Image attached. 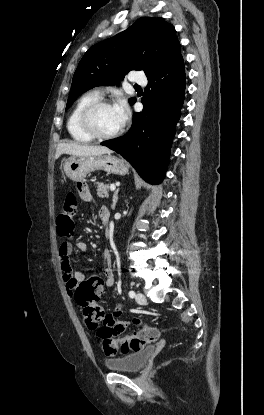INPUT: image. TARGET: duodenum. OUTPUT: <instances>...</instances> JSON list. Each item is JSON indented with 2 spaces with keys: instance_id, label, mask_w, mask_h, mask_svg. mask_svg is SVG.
<instances>
[{
  "instance_id": "1",
  "label": "duodenum",
  "mask_w": 264,
  "mask_h": 415,
  "mask_svg": "<svg viewBox=\"0 0 264 415\" xmlns=\"http://www.w3.org/2000/svg\"><path fill=\"white\" fill-rule=\"evenodd\" d=\"M106 237H107V239H110L111 238V232H110L109 229L106 232Z\"/></svg>"
}]
</instances>
